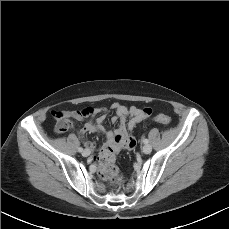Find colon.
I'll return each mask as SVG.
<instances>
[{
    "mask_svg": "<svg viewBox=\"0 0 229 229\" xmlns=\"http://www.w3.org/2000/svg\"><path fill=\"white\" fill-rule=\"evenodd\" d=\"M144 115L149 116L152 112L151 108L145 107L142 108ZM92 113L85 112L84 116H91ZM71 113H59L58 114V123L56 127V131L58 133L66 132L70 128L73 127V119ZM155 121L162 123V124H169L171 122V118L168 115L165 114H159L155 117ZM120 140V137H116L115 141L118 142ZM117 153L113 151L111 148L107 147L105 148L101 154H100V163H101V169H100V176L110 182L113 186L119 187L123 183V177L120 174L116 164Z\"/></svg>",
    "mask_w": 229,
    "mask_h": 229,
    "instance_id": "1",
    "label": "colon"
}]
</instances>
